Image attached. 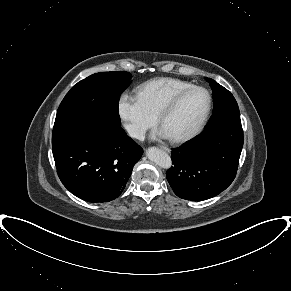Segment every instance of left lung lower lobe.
<instances>
[{
  "instance_id": "left-lung-lower-lobe-1",
  "label": "left lung lower lobe",
  "mask_w": 291,
  "mask_h": 291,
  "mask_svg": "<svg viewBox=\"0 0 291 291\" xmlns=\"http://www.w3.org/2000/svg\"><path fill=\"white\" fill-rule=\"evenodd\" d=\"M242 147L241 123H217L172 150L173 166L166 173L167 180L182 199L199 201L216 196L234 180Z\"/></svg>"
}]
</instances>
